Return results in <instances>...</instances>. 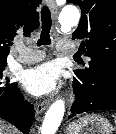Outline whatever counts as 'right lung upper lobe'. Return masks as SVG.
<instances>
[{"label":"right lung upper lobe","instance_id":"right-lung-upper-lobe-1","mask_svg":"<svg viewBox=\"0 0 116 134\" xmlns=\"http://www.w3.org/2000/svg\"><path fill=\"white\" fill-rule=\"evenodd\" d=\"M41 0H0V63H7L9 46L18 36H30L39 26Z\"/></svg>","mask_w":116,"mask_h":134}]
</instances>
